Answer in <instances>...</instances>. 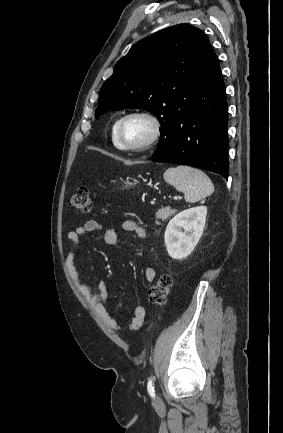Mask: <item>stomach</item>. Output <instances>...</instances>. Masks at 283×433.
<instances>
[{
	"label": "stomach",
	"instance_id": "obj_1",
	"mask_svg": "<svg viewBox=\"0 0 283 433\" xmlns=\"http://www.w3.org/2000/svg\"><path fill=\"white\" fill-rule=\"evenodd\" d=\"M126 186H128V184H135V182H125Z\"/></svg>",
	"mask_w": 283,
	"mask_h": 433
}]
</instances>
